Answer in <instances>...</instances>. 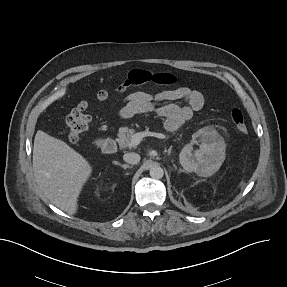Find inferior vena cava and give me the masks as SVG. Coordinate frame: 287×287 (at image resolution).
Masks as SVG:
<instances>
[{"instance_id":"obj_1","label":"inferior vena cava","mask_w":287,"mask_h":287,"mask_svg":"<svg viewBox=\"0 0 287 287\" xmlns=\"http://www.w3.org/2000/svg\"><path fill=\"white\" fill-rule=\"evenodd\" d=\"M123 159L129 164H137L140 161V155L137 153H126L123 155Z\"/></svg>"}]
</instances>
